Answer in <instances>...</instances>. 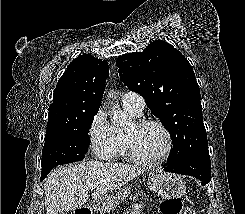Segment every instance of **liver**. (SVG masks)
Instances as JSON below:
<instances>
[{
  "mask_svg": "<svg viewBox=\"0 0 245 214\" xmlns=\"http://www.w3.org/2000/svg\"><path fill=\"white\" fill-rule=\"evenodd\" d=\"M143 172V169L135 166L99 161L58 167L45 181L46 214L74 211L84 206L91 184L95 185L92 196L97 199L121 188Z\"/></svg>",
  "mask_w": 245,
  "mask_h": 214,
  "instance_id": "liver-1",
  "label": "liver"
}]
</instances>
